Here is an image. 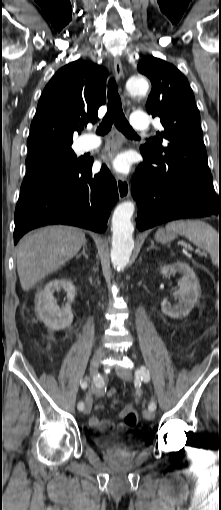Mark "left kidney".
<instances>
[{
  "instance_id": "left-kidney-1",
  "label": "left kidney",
  "mask_w": 221,
  "mask_h": 510,
  "mask_svg": "<svg viewBox=\"0 0 221 510\" xmlns=\"http://www.w3.org/2000/svg\"><path fill=\"white\" fill-rule=\"evenodd\" d=\"M168 272H180L183 274V277L179 280V289L174 293L175 297L178 299V304L171 306L163 302L161 310L165 315L172 318L186 317L200 297L201 289L199 282L191 267L180 261L172 265L160 267L161 274L165 275Z\"/></svg>"
}]
</instances>
